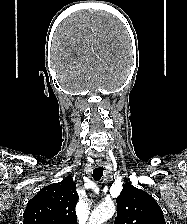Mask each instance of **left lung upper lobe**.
<instances>
[{
  "instance_id": "left-lung-upper-lobe-1",
  "label": "left lung upper lobe",
  "mask_w": 187,
  "mask_h": 224,
  "mask_svg": "<svg viewBox=\"0 0 187 224\" xmlns=\"http://www.w3.org/2000/svg\"><path fill=\"white\" fill-rule=\"evenodd\" d=\"M115 224H166L163 211L145 191L126 182L117 197Z\"/></svg>"
}]
</instances>
